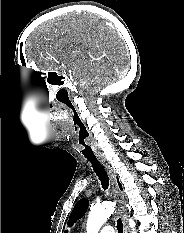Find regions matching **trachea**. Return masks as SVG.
Returning <instances> with one entry per match:
<instances>
[{
	"label": "trachea",
	"instance_id": "3493384b",
	"mask_svg": "<svg viewBox=\"0 0 184 233\" xmlns=\"http://www.w3.org/2000/svg\"><path fill=\"white\" fill-rule=\"evenodd\" d=\"M78 141L81 147L82 154L91 163L96 175L98 176L101 182L102 188L104 190L108 189L109 186L108 174L105 168L103 167V165L97 159V156L95 155V151L89 142V132L84 125H81L79 127ZM117 230L118 233H123V224L120 218L117 220Z\"/></svg>",
	"mask_w": 184,
	"mask_h": 233
}]
</instances>
